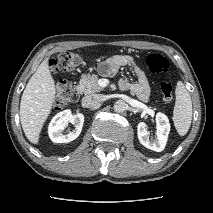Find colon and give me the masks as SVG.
<instances>
[{"label": "colon", "instance_id": "5ec220e1", "mask_svg": "<svg viewBox=\"0 0 213 213\" xmlns=\"http://www.w3.org/2000/svg\"><path fill=\"white\" fill-rule=\"evenodd\" d=\"M82 65V58L73 52L64 51L51 61V69L55 73H68L78 70ZM146 65L154 75L165 74L168 71V61L159 54H150L146 58ZM160 92L164 100L169 101L173 97V86L164 81L160 84ZM79 98L77 89L69 82L61 81L57 85L55 105L59 108L66 107Z\"/></svg>", "mask_w": 213, "mask_h": 213}]
</instances>
